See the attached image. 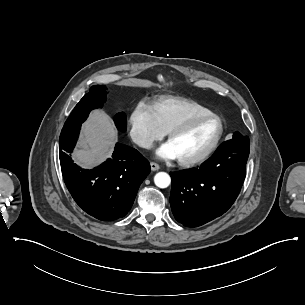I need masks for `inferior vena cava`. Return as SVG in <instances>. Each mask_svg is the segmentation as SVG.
Segmentation results:
<instances>
[{"instance_id":"602c4592","label":"inferior vena cava","mask_w":305,"mask_h":305,"mask_svg":"<svg viewBox=\"0 0 305 305\" xmlns=\"http://www.w3.org/2000/svg\"><path fill=\"white\" fill-rule=\"evenodd\" d=\"M133 141L136 143L138 146L143 147V148H150L152 145V142L150 141L149 138L142 137L138 134L133 136Z\"/></svg>"}]
</instances>
